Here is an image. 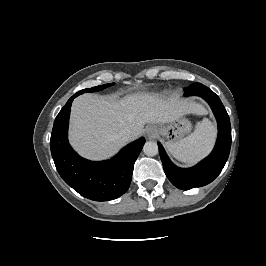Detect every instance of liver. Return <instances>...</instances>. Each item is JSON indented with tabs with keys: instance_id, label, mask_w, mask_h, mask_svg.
<instances>
[{
	"instance_id": "obj_1",
	"label": "liver",
	"mask_w": 266,
	"mask_h": 266,
	"mask_svg": "<svg viewBox=\"0 0 266 266\" xmlns=\"http://www.w3.org/2000/svg\"><path fill=\"white\" fill-rule=\"evenodd\" d=\"M190 113L200 115L204 109L193 101L165 100L148 93H136L120 100L83 94L72 104L70 142L86 158L105 159L124 145L118 138L119 131L129 130L130 140H134L147 123L164 124Z\"/></svg>"
}]
</instances>
